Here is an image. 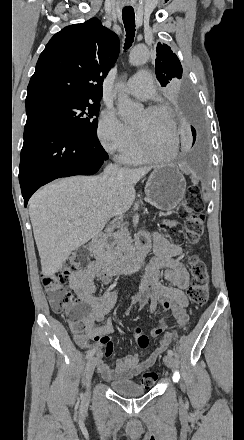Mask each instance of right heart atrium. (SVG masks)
<instances>
[{"instance_id": "d8ad5b80", "label": "right heart atrium", "mask_w": 244, "mask_h": 440, "mask_svg": "<svg viewBox=\"0 0 244 440\" xmlns=\"http://www.w3.org/2000/svg\"><path fill=\"white\" fill-rule=\"evenodd\" d=\"M97 137L110 154L134 149L137 138H139L135 128L124 124L109 108L101 112L97 126Z\"/></svg>"}]
</instances>
